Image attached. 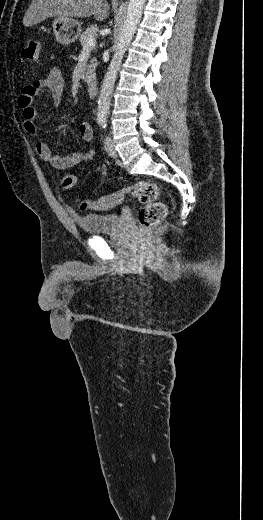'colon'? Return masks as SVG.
I'll list each match as a JSON object with an SVG mask.
<instances>
[{
	"label": "colon",
	"mask_w": 263,
	"mask_h": 520,
	"mask_svg": "<svg viewBox=\"0 0 263 520\" xmlns=\"http://www.w3.org/2000/svg\"><path fill=\"white\" fill-rule=\"evenodd\" d=\"M41 42L32 39L23 48L22 55L31 62L39 60ZM77 178L74 174H65L61 180L64 190L70 191L76 187ZM134 197L143 205L139 222L142 229H148L161 222L167 215V207L159 198V189L155 183L140 181L116 193L102 196L97 199L78 200L77 206L81 211H104L121 204L127 197Z\"/></svg>",
	"instance_id": "obj_1"
}]
</instances>
